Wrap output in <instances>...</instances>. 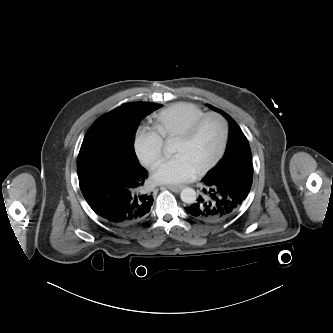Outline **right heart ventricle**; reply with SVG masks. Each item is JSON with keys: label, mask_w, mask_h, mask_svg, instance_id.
Returning <instances> with one entry per match:
<instances>
[{"label": "right heart ventricle", "mask_w": 333, "mask_h": 333, "mask_svg": "<svg viewBox=\"0 0 333 333\" xmlns=\"http://www.w3.org/2000/svg\"><path fill=\"white\" fill-rule=\"evenodd\" d=\"M205 111L192 103L173 104L153 117V128L163 139L177 137Z\"/></svg>", "instance_id": "1"}]
</instances>
